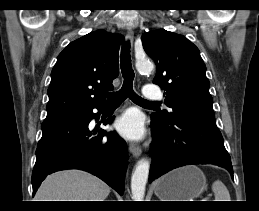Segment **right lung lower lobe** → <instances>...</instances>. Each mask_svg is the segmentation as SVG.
Wrapping results in <instances>:
<instances>
[{"mask_svg":"<svg viewBox=\"0 0 259 211\" xmlns=\"http://www.w3.org/2000/svg\"><path fill=\"white\" fill-rule=\"evenodd\" d=\"M97 109L102 111L104 106ZM95 117L90 110L44 120L32 173L33 195L48 174L64 169L88 171L123 195L127 145L115 132L105 136L104 130H90Z\"/></svg>","mask_w":259,"mask_h":211,"instance_id":"1","label":"right lung lower lobe"}]
</instances>
